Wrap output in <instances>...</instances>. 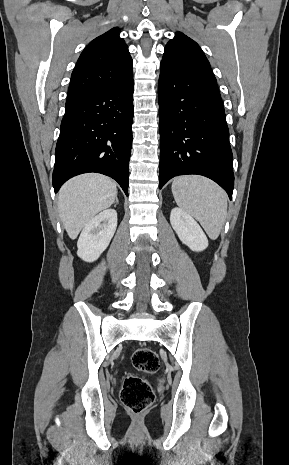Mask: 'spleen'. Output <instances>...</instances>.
<instances>
[{"label": "spleen", "mask_w": 289, "mask_h": 465, "mask_svg": "<svg viewBox=\"0 0 289 465\" xmlns=\"http://www.w3.org/2000/svg\"><path fill=\"white\" fill-rule=\"evenodd\" d=\"M172 193L177 205L200 222L209 238L217 239L227 215L224 190L206 177L184 175L174 179Z\"/></svg>", "instance_id": "3e777b00"}]
</instances>
